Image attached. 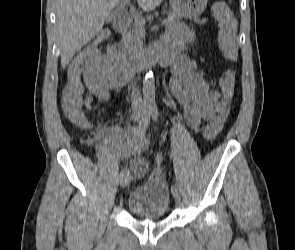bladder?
Instances as JSON below:
<instances>
[{"mask_svg": "<svg viewBox=\"0 0 295 250\" xmlns=\"http://www.w3.org/2000/svg\"><path fill=\"white\" fill-rule=\"evenodd\" d=\"M127 211L142 220L166 218L170 208V196L166 179L161 170H154L129 193Z\"/></svg>", "mask_w": 295, "mask_h": 250, "instance_id": "obj_1", "label": "bladder"}]
</instances>
